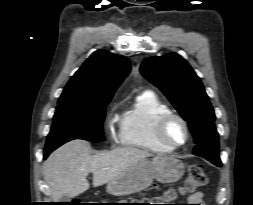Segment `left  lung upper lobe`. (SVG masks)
I'll return each instance as SVG.
<instances>
[{"instance_id":"left-lung-upper-lobe-1","label":"left lung upper lobe","mask_w":253,"mask_h":205,"mask_svg":"<svg viewBox=\"0 0 253 205\" xmlns=\"http://www.w3.org/2000/svg\"><path fill=\"white\" fill-rule=\"evenodd\" d=\"M140 72L167 96L188 122L196 144L193 154L221 166L214 110L191 66L180 55L169 53L145 59Z\"/></svg>"}]
</instances>
